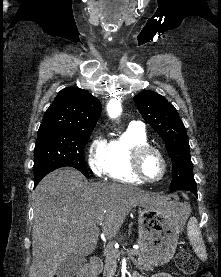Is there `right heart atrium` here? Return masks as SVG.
<instances>
[{
	"label": "right heart atrium",
	"instance_id": "right-heart-atrium-1",
	"mask_svg": "<svg viewBox=\"0 0 221 277\" xmlns=\"http://www.w3.org/2000/svg\"><path fill=\"white\" fill-rule=\"evenodd\" d=\"M106 145V140L101 136H97L89 146L88 164L92 172L98 176L103 173Z\"/></svg>",
	"mask_w": 221,
	"mask_h": 277
}]
</instances>
